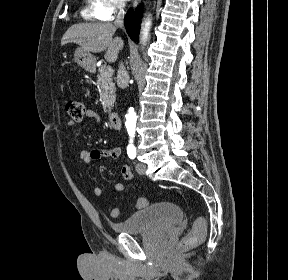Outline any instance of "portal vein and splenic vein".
Listing matches in <instances>:
<instances>
[{"mask_svg":"<svg viewBox=\"0 0 288 280\" xmlns=\"http://www.w3.org/2000/svg\"><path fill=\"white\" fill-rule=\"evenodd\" d=\"M106 73H107L108 75H112V74H113V69H112L110 66H107V68H106Z\"/></svg>","mask_w":288,"mask_h":280,"instance_id":"1","label":"portal vein and splenic vein"}]
</instances>
